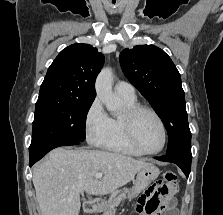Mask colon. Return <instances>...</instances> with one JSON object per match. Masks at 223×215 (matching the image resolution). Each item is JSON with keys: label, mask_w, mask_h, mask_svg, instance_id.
Wrapping results in <instances>:
<instances>
[{"label": "colon", "mask_w": 223, "mask_h": 215, "mask_svg": "<svg viewBox=\"0 0 223 215\" xmlns=\"http://www.w3.org/2000/svg\"><path fill=\"white\" fill-rule=\"evenodd\" d=\"M164 181L167 183V184H170V185H176L177 184V175L174 173V172H165L164 173ZM153 210H158V207L157 206H153L152 207Z\"/></svg>", "instance_id": "colon-1"}]
</instances>
